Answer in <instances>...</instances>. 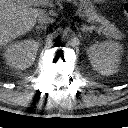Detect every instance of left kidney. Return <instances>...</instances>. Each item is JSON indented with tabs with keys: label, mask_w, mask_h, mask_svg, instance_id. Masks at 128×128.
Segmentation results:
<instances>
[{
	"label": "left kidney",
	"mask_w": 128,
	"mask_h": 128,
	"mask_svg": "<svg viewBox=\"0 0 128 128\" xmlns=\"http://www.w3.org/2000/svg\"><path fill=\"white\" fill-rule=\"evenodd\" d=\"M122 53L123 46L113 41L95 43L87 49V54L93 69L107 76L118 71Z\"/></svg>",
	"instance_id": "obj_1"
}]
</instances>
